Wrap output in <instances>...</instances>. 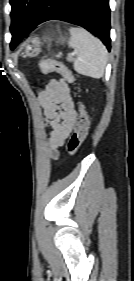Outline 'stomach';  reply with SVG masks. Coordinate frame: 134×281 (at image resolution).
Returning a JSON list of instances; mask_svg holds the SVG:
<instances>
[{"label":"stomach","instance_id":"0dacf381","mask_svg":"<svg viewBox=\"0 0 134 281\" xmlns=\"http://www.w3.org/2000/svg\"><path fill=\"white\" fill-rule=\"evenodd\" d=\"M41 52V42L38 38H32L25 47V56L35 57Z\"/></svg>","mask_w":134,"mask_h":281}]
</instances>
